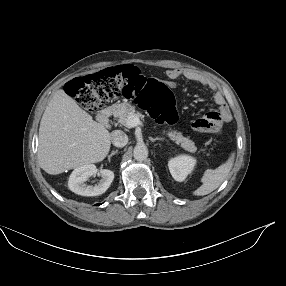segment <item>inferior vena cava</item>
Listing matches in <instances>:
<instances>
[{
  "mask_svg": "<svg viewBox=\"0 0 286 286\" xmlns=\"http://www.w3.org/2000/svg\"><path fill=\"white\" fill-rule=\"evenodd\" d=\"M111 136H112V144L115 147H118V148L124 147L128 142L127 135L121 130L113 131Z\"/></svg>",
  "mask_w": 286,
  "mask_h": 286,
  "instance_id": "602c4592",
  "label": "inferior vena cava"
}]
</instances>
